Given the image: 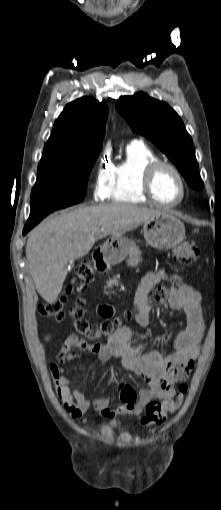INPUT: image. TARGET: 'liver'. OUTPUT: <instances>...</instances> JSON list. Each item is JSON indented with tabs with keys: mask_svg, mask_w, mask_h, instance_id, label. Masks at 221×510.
<instances>
[{
	"mask_svg": "<svg viewBox=\"0 0 221 510\" xmlns=\"http://www.w3.org/2000/svg\"><path fill=\"white\" fill-rule=\"evenodd\" d=\"M160 213L112 203L80 207L43 221L31 231L26 244L27 268L37 292L47 303H54L66 279L67 265L88 254L95 235L120 237Z\"/></svg>",
	"mask_w": 221,
	"mask_h": 510,
	"instance_id": "obj_1",
	"label": "liver"
}]
</instances>
